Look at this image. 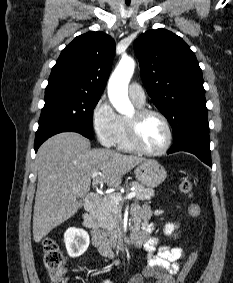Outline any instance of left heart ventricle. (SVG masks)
I'll return each instance as SVG.
<instances>
[{"label": "left heart ventricle", "mask_w": 233, "mask_h": 283, "mask_svg": "<svg viewBox=\"0 0 233 283\" xmlns=\"http://www.w3.org/2000/svg\"><path fill=\"white\" fill-rule=\"evenodd\" d=\"M135 112L129 116L133 118ZM167 129L163 121L157 116L144 119L139 128V138L142 145L152 151L161 149L167 141Z\"/></svg>", "instance_id": "obj_1"}]
</instances>
